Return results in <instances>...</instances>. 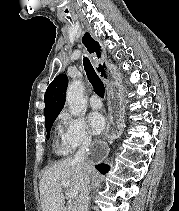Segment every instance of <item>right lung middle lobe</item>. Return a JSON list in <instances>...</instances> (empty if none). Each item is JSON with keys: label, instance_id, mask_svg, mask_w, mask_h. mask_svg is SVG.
<instances>
[{"label": "right lung middle lobe", "instance_id": "obj_1", "mask_svg": "<svg viewBox=\"0 0 179 211\" xmlns=\"http://www.w3.org/2000/svg\"><path fill=\"white\" fill-rule=\"evenodd\" d=\"M56 117H52L48 120H46V131H47V138H49V133L52 127L53 122L55 121Z\"/></svg>", "mask_w": 179, "mask_h": 211}]
</instances>
